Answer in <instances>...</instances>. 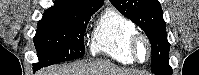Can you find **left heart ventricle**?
Masks as SVG:
<instances>
[{"label":"left heart ventricle","instance_id":"1","mask_svg":"<svg viewBox=\"0 0 199 75\" xmlns=\"http://www.w3.org/2000/svg\"><path fill=\"white\" fill-rule=\"evenodd\" d=\"M148 49L147 45L144 42H139L137 45V55L140 60L144 61L147 57Z\"/></svg>","mask_w":199,"mask_h":75}]
</instances>
